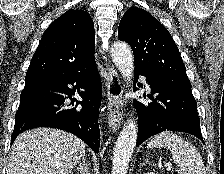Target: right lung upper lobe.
<instances>
[{
  "instance_id": "cb5924a9",
  "label": "right lung upper lobe",
  "mask_w": 224,
  "mask_h": 174,
  "mask_svg": "<svg viewBox=\"0 0 224 174\" xmlns=\"http://www.w3.org/2000/svg\"><path fill=\"white\" fill-rule=\"evenodd\" d=\"M94 24L88 12L70 9L44 32L32 57L25 81L72 73L95 62Z\"/></svg>"
}]
</instances>
